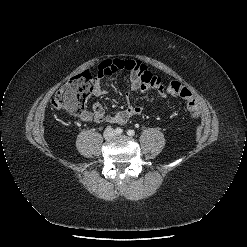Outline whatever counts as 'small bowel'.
Listing matches in <instances>:
<instances>
[{
    "label": "small bowel",
    "mask_w": 247,
    "mask_h": 247,
    "mask_svg": "<svg viewBox=\"0 0 247 247\" xmlns=\"http://www.w3.org/2000/svg\"><path fill=\"white\" fill-rule=\"evenodd\" d=\"M127 71L130 74V89L134 92H148L155 90L162 98L167 97L166 87L161 79L153 74L145 64L132 59H107L99 64L98 74L94 82V95L101 97L106 94L102 86V78ZM143 108L134 105L127 96V105L124 109L112 114H105L99 102L93 104L92 111H84L78 115L79 120L95 124L110 123L124 124L130 118L140 115Z\"/></svg>",
    "instance_id": "small-bowel-1"
}]
</instances>
